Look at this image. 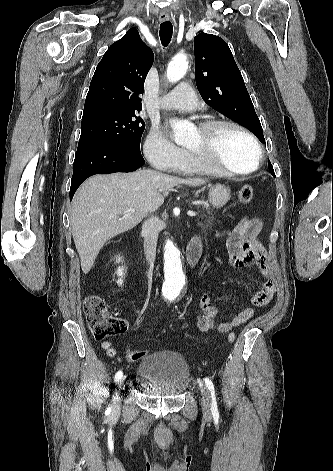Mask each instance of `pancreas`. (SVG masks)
Segmentation results:
<instances>
[{"label":"pancreas","instance_id":"obj_1","mask_svg":"<svg viewBox=\"0 0 333 471\" xmlns=\"http://www.w3.org/2000/svg\"><path fill=\"white\" fill-rule=\"evenodd\" d=\"M207 209V215H201V218H206L204 222H198V226L201 227L203 230H211L214 225V217L213 214L210 212L209 208Z\"/></svg>","mask_w":333,"mask_h":471}]
</instances>
